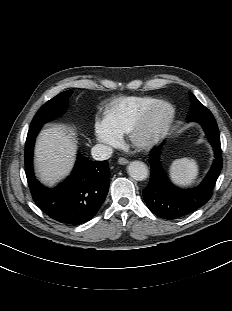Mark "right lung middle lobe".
Listing matches in <instances>:
<instances>
[{"mask_svg": "<svg viewBox=\"0 0 232 311\" xmlns=\"http://www.w3.org/2000/svg\"><path fill=\"white\" fill-rule=\"evenodd\" d=\"M72 93V90L64 91L46 102L34 116L30 128L42 126L46 122L63 114L68 105L67 99Z\"/></svg>", "mask_w": 232, "mask_h": 311, "instance_id": "dd1d6c3e", "label": "right lung middle lobe"}]
</instances>
